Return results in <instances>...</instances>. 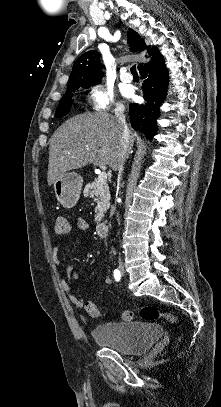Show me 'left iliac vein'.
<instances>
[{
  "mask_svg": "<svg viewBox=\"0 0 221 407\" xmlns=\"http://www.w3.org/2000/svg\"><path fill=\"white\" fill-rule=\"evenodd\" d=\"M120 270H121L122 275H125V274H126L125 269H124L123 266L120 267Z\"/></svg>",
  "mask_w": 221,
  "mask_h": 407,
  "instance_id": "obj_1",
  "label": "left iliac vein"
}]
</instances>
